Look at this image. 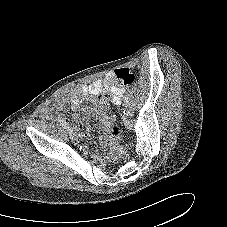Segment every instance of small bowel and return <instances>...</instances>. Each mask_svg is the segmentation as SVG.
<instances>
[{
  "label": "small bowel",
  "instance_id": "c3829d8e",
  "mask_svg": "<svg viewBox=\"0 0 227 227\" xmlns=\"http://www.w3.org/2000/svg\"><path fill=\"white\" fill-rule=\"evenodd\" d=\"M115 73L116 71L109 72L103 79L96 80L90 84H78L68 97L55 98L42 109L43 118L50 120L55 115L61 118L59 113L63 111L67 105H70L75 113L79 112L81 102L86 96L96 98L101 94L107 93L111 95V102L115 105H119L124 90L115 84ZM90 112L97 114L106 126L111 123L112 117L109 110L102 112L99 110L98 106H95ZM80 136L84 141L89 140V130L87 128L83 129Z\"/></svg>",
  "mask_w": 227,
  "mask_h": 227
}]
</instances>
